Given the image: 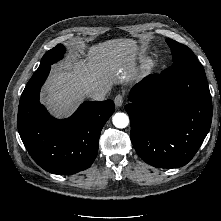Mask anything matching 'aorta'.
<instances>
[{"label": "aorta", "mask_w": 221, "mask_h": 221, "mask_svg": "<svg viewBox=\"0 0 221 221\" xmlns=\"http://www.w3.org/2000/svg\"><path fill=\"white\" fill-rule=\"evenodd\" d=\"M112 122L115 127L122 129L128 126L129 117L125 113L118 112L113 116Z\"/></svg>", "instance_id": "aorta-1"}]
</instances>
